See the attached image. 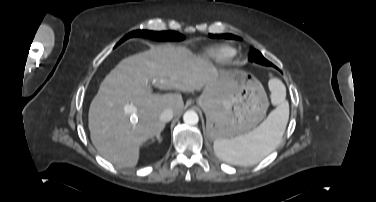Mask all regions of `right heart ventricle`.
<instances>
[{
    "label": "right heart ventricle",
    "mask_w": 376,
    "mask_h": 202,
    "mask_svg": "<svg viewBox=\"0 0 376 202\" xmlns=\"http://www.w3.org/2000/svg\"><path fill=\"white\" fill-rule=\"evenodd\" d=\"M208 54L217 61H227L235 55V50L229 46H221L209 51Z\"/></svg>",
    "instance_id": "e07e8e85"
}]
</instances>
